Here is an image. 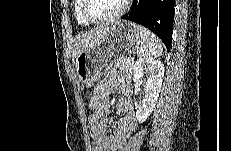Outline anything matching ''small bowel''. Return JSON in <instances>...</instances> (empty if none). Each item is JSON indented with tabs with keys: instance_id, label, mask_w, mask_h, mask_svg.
<instances>
[{
	"instance_id": "obj_1",
	"label": "small bowel",
	"mask_w": 231,
	"mask_h": 151,
	"mask_svg": "<svg viewBox=\"0 0 231 151\" xmlns=\"http://www.w3.org/2000/svg\"><path fill=\"white\" fill-rule=\"evenodd\" d=\"M118 90L123 97L117 103V111L124 114L113 122L114 136L107 133L109 121L110 93ZM131 89L127 81L109 76L101 80L91 100L89 117L93 151H120L135 129V112L131 103Z\"/></svg>"
}]
</instances>
